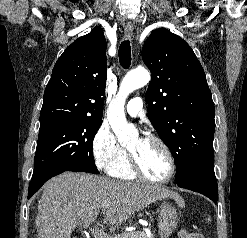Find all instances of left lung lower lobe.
<instances>
[{
  "instance_id": "left-lung-lower-lobe-1",
  "label": "left lung lower lobe",
  "mask_w": 247,
  "mask_h": 238,
  "mask_svg": "<svg viewBox=\"0 0 247 238\" xmlns=\"http://www.w3.org/2000/svg\"><path fill=\"white\" fill-rule=\"evenodd\" d=\"M176 185L199 192L213 202H217L218 185L213 167L202 166L194 169L182 181L176 182Z\"/></svg>"
}]
</instances>
